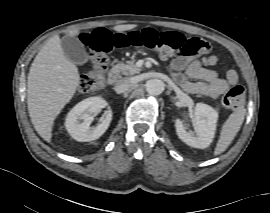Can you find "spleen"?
<instances>
[{"label":"spleen","mask_w":270,"mask_h":213,"mask_svg":"<svg viewBox=\"0 0 270 213\" xmlns=\"http://www.w3.org/2000/svg\"><path fill=\"white\" fill-rule=\"evenodd\" d=\"M245 113V109L238 110L230 114L228 119L224 122L218 143L214 151L215 156L223 153L231 144V142L241 128V125L244 121Z\"/></svg>","instance_id":"spleen-1"}]
</instances>
